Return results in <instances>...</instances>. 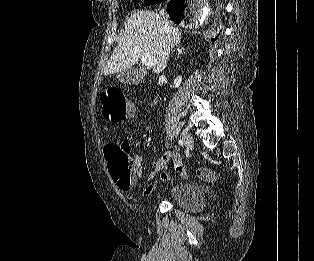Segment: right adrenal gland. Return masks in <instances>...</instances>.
Listing matches in <instances>:
<instances>
[{
	"mask_svg": "<svg viewBox=\"0 0 314 261\" xmlns=\"http://www.w3.org/2000/svg\"><path fill=\"white\" fill-rule=\"evenodd\" d=\"M177 51H178L177 59H178L181 55L185 54V49H184L183 47H181L180 45L178 46Z\"/></svg>",
	"mask_w": 314,
	"mask_h": 261,
	"instance_id": "right-adrenal-gland-1",
	"label": "right adrenal gland"
}]
</instances>
